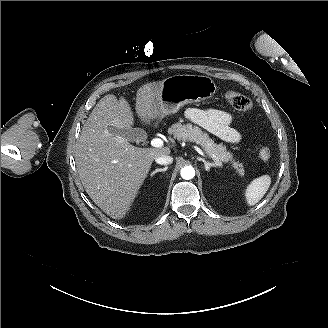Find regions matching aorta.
<instances>
[{
    "instance_id": "762f6f07",
    "label": "aorta",
    "mask_w": 328,
    "mask_h": 328,
    "mask_svg": "<svg viewBox=\"0 0 328 328\" xmlns=\"http://www.w3.org/2000/svg\"><path fill=\"white\" fill-rule=\"evenodd\" d=\"M181 177L185 180H190L195 176V170L192 166H185L180 171Z\"/></svg>"
}]
</instances>
